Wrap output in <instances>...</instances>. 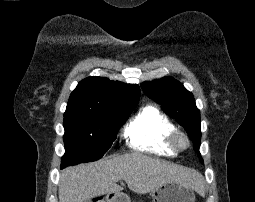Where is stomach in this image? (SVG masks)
<instances>
[{
	"label": "stomach",
	"instance_id": "1",
	"mask_svg": "<svg viewBox=\"0 0 255 202\" xmlns=\"http://www.w3.org/2000/svg\"><path fill=\"white\" fill-rule=\"evenodd\" d=\"M152 202H195L193 189L178 182L165 183L150 193ZM104 202H130L121 193L108 195Z\"/></svg>",
	"mask_w": 255,
	"mask_h": 202
}]
</instances>
